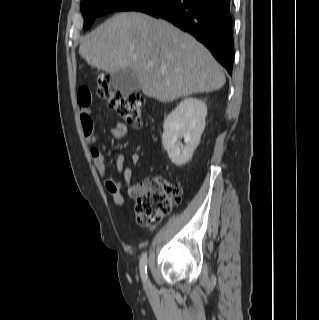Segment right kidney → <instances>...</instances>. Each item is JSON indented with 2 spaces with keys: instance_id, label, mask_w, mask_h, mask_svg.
<instances>
[{
  "instance_id": "right-kidney-1",
  "label": "right kidney",
  "mask_w": 319,
  "mask_h": 320,
  "mask_svg": "<svg viewBox=\"0 0 319 320\" xmlns=\"http://www.w3.org/2000/svg\"><path fill=\"white\" fill-rule=\"evenodd\" d=\"M207 107L204 101L186 98L167 116L163 124L162 143L172 163H187L197 148L205 128ZM184 138L185 145L178 139Z\"/></svg>"
}]
</instances>
